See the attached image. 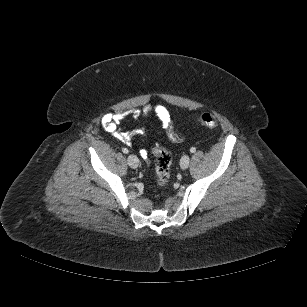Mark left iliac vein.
<instances>
[{"instance_id": "4c4485c4", "label": "left iliac vein", "mask_w": 307, "mask_h": 307, "mask_svg": "<svg viewBox=\"0 0 307 307\" xmlns=\"http://www.w3.org/2000/svg\"><path fill=\"white\" fill-rule=\"evenodd\" d=\"M190 163V158L188 155H184L182 156L181 160H180V166L182 169H187Z\"/></svg>"}]
</instances>
